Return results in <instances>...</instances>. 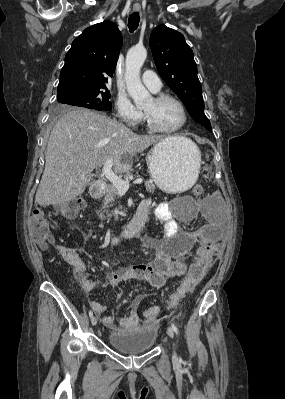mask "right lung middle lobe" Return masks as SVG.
<instances>
[{"mask_svg": "<svg viewBox=\"0 0 285 399\" xmlns=\"http://www.w3.org/2000/svg\"><path fill=\"white\" fill-rule=\"evenodd\" d=\"M110 97L111 94L107 88L69 90L57 95V109L78 106L98 111H110L112 108Z\"/></svg>", "mask_w": 285, "mask_h": 399, "instance_id": "right-lung-middle-lobe-1", "label": "right lung middle lobe"}]
</instances>
